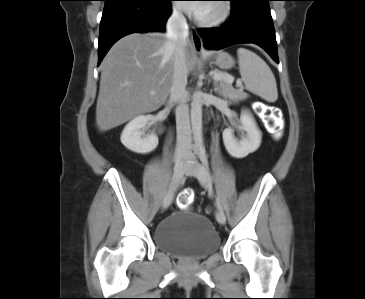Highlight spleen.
I'll return each mask as SVG.
<instances>
[{
	"instance_id": "spleen-1",
	"label": "spleen",
	"mask_w": 365,
	"mask_h": 299,
	"mask_svg": "<svg viewBox=\"0 0 365 299\" xmlns=\"http://www.w3.org/2000/svg\"><path fill=\"white\" fill-rule=\"evenodd\" d=\"M237 54L241 78L246 89L268 102H275L278 98L277 84L266 62L245 48H239Z\"/></svg>"
}]
</instances>
